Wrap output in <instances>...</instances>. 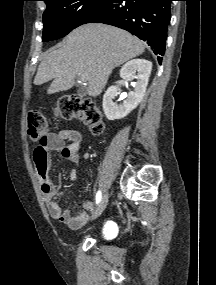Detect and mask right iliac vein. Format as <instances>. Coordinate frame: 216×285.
<instances>
[{
	"instance_id": "obj_1",
	"label": "right iliac vein",
	"mask_w": 216,
	"mask_h": 285,
	"mask_svg": "<svg viewBox=\"0 0 216 285\" xmlns=\"http://www.w3.org/2000/svg\"><path fill=\"white\" fill-rule=\"evenodd\" d=\"M107 203H108V193H105L103 197L101 198L97 209L93 213V216H92L93 219L99 217L102 214V212L105 210L107 206Z\"/></svg>"
}]
</instances>
